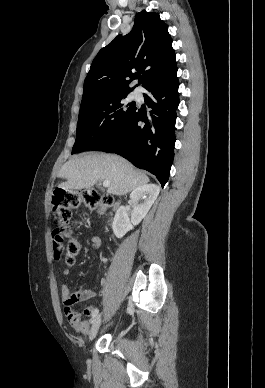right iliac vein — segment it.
I'll list each match as a JSON object with an SVG mask.
<instances>
[{
    "label": "right iliac vein",
    "mask_w": 265,
    "mask_h": 388,
    "mask_svg": "<svg viewBox=\"0 0 265 388\" xmlns=\"http://www.w3.org/2000/svg\"><path fill=\"white\" fill-rule=\"evenodd\" d=\"M100 324H101V315H98L95 320L93 321V324H92V327H91V330H90V334H89V340H93L95 338V336L97 335V332L99 330V327H100Z\"/></svg>",
    "instance_id": "right-iliac-vein-1"
}]
</instances>
